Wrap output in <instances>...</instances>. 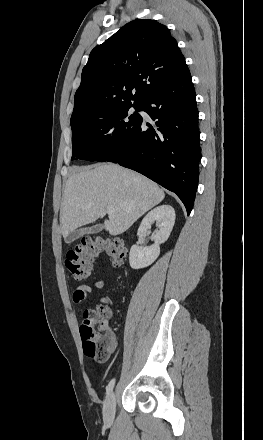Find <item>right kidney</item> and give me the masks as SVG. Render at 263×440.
Listing matches in <instances>:
<instances>
[{"mask_svg": "<svg viewBox=\"0 0 263 440\" xmlns=\"http://www.w3.org/2000/svg\"><path fill=\"white\" fill-rule=\"evenodd\" d=\"M156 222L158 231L153 236L154 244L149 247L133 245L129 253L132 269H141L151 265L160 254V244L167 241L175 223V210L170 205H160L151 210L142 220L137 236H146L151 225Z\"/></svg>", "mask_w": 263, "mask_h": 440, "instance_id": "right-kidney-1", "label": "right kidney"}]
</instances>
